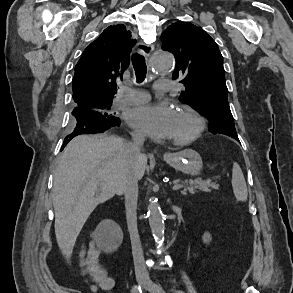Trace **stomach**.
I'll return each instance as SVG.
<instances>
[{
	"label": "stomach",
	"instance_id": "obj_1",
	"mask_svg": "<svg viewBox=\"0 0 293 293\" xmlns=\"http://www.w3.org/2000/svg\"><path fill=\"white\" fill-rule=\"evenodd\" d=\"M165 161L175 170L190 176L198 175L203 166L201 156L193 149L168 154L165 156Z\"/></svg>",
	"mask_w": 293,
	"mask_h": 293
}]
</instances>
